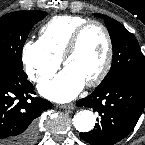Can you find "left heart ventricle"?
Masks as SVG:
<instances>
[{"instance_id": "1", "label": "left heart ventricle", "mask_w": 145, "mask_h": 145, "mask_svg": "<svg viewBox=\"0 0 145 145\" xmlns=\"http://www.w3.org/2000/svg\"><path fill=\"white\" fill-rule=\"evenodd\" d=\"M107 51V42L103 31L96 25L83 33L74 54L66 61L85 83L94 78L101 70Z\"/></svg>"}]
</instances>
